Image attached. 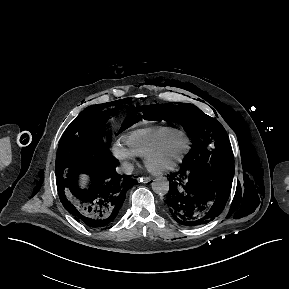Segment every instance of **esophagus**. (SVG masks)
<instances>
[{"mask_svg":"<svg viewBox=\"0 0 289 289\" xmlns=\"http://www.w3.org/2000/svg\"><path fill=\"white\" fill-rule=\"evenodd\" d=\"M140 181L142 182V183H149V182H151L152 181V178L151 177H142V178H140Z\"/></svg>","mask_w":289,"mask_h":289,"instance_id":"esophagus-1","label":"esophagus"}]
</instances>
